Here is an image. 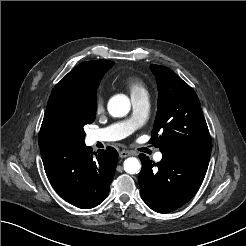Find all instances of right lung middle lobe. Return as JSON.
<instances>
[{
  "label": "right lung middle lobe",
  "mask_w": 246,
  "mask_h": 246,
  "mask_svg": "<svg viewBox=\"0 0 246 246\" xmlns=\"http://www.w3.org/2000/svg\"><path fill=\"white\" fill-rule=\"evenodd\" d=\"M112 65H114V63H112ZM107 69L101 71L91 80L84 94L65 103L58 122V138H73L84 141L85 132L83 127L86 124H91L95 119L96 89Z\"/></svg>",
  "instance_id": "1"
}]
</instances>
